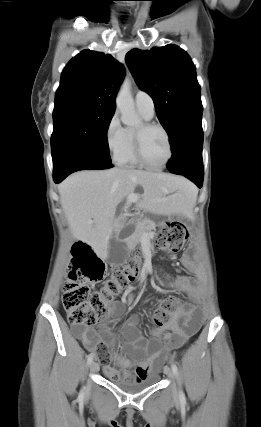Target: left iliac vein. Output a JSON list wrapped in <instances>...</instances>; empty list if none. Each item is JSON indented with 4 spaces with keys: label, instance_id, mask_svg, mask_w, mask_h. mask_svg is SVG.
Segmentation results:
<instances>
[{
    "label": "left iliac vein",
    "instance_id": "4c4485c4",
    "mask_svg": "<svg viewBox=\"0 0 261 427\" xmlns=\"http://www.w3.org/2000/svg\"><path fill=\"white\" fill-rule=\"evenodd\" d=\"M164 373L170 378V379H173L174 378V373H173V371H172V369L170 368V367H168V366H166L165 368H164ZM173 393H174V395H176V388H175V386H173Z\"/></svg>",
    "mask_w": 261,
    "mask_h": 427
}]
</instances>
